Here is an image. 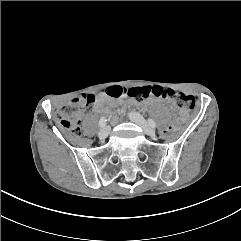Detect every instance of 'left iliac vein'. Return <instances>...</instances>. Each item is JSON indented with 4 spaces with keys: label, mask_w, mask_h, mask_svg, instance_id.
<instances>
[{
    "label": "left iliac vein",
    "mask_w": 241,
    "mask_h": 241,
    "mask_svg": "<svg viewBox=\"0 0 241 241\" xmlns=\"http://www.w3.org/2000/svg\"><path fill=\"white\" fill-rule=\"evenodd\" d=\"M129 117L144 131L146 135L153 136L155 134V130L151 126H149V124L140 114L136 112H131L129 114Z\"/></svg>",
    "instance_id": "left-iliac-vein-1"
}]
</instances>
